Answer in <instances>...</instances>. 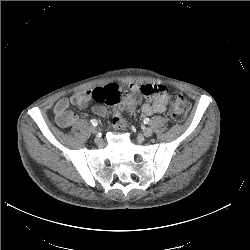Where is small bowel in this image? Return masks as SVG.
Instances as JSON below:
<instances>
[{
	"mask_svg": "<svg viewBox=\"0 0 250 250\" xmlns=\"http://www.w3.org/2000/svg\"><path fill=\"white\" fill-rule=\"evenodd\" d=\"M131 89L140 92L146 98L145 103L141 107V111L145 115L161 114L167 110L169 96L165 86L151 84L141 86L131 85ZM91 98V91H83L69 98L60 99L54 107L56 123L62 128H67L75 124L78 120V116L71 112L69 108L71 106H77L81 109H85L89 106ZM92 111L98 116H104L107 112L106 108L99 104L94 105Z\"/></svg>",
	"mask_w": 250,
	"mask_h": 250,
	"instance_id": "obj_1",
	"label": "small bowel"
}]
</instances>
